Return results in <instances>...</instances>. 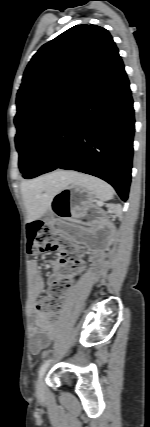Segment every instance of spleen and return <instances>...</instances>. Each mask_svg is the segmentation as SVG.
<instances>
[{
    "mask_svg": "<svg viewBox=\"0 0 150 427\" xmlns=\"http://www.w3.org/2000/svg\"><path fill=\"white\" fill-rule=\"evenodd\" d=\"M74 181L81 184L89 191L93 192L95 197L99 199V203H103L105 201L113 199V188L103 180L89 175L77 174Z\"/></svg>",
    "mask_w": 150,
    "mask_h": 427,
    "instance_id": "obj_1",
    "label": "spleen"
}]
</instances>
